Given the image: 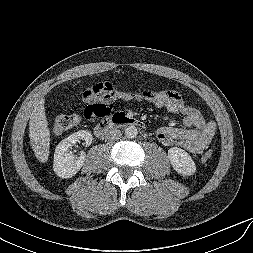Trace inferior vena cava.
<instances>
[{"label": "inferior vena cava", "mask_w": 253, "mask_h": 253, "mask_svg": "<svg viewBox=\"0 0 253 253\" xmlns=\"http://www.w3.org/2000/svg\"><path fill=\"white\" fill-rule=\"evenodd\" d=\"M121 136V131L114 127L107 128L104 132V139L108 142L117 141L120 139Z\"/></svg>", "instance_id": "602c4592"}]
</instances>
